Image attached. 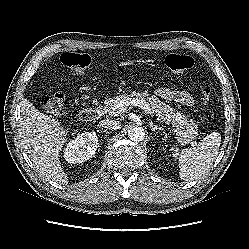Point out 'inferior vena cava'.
<instances>
[{
    "label": "inferior vena cava",
    "instance_id": "inferior-vena-cava-1",
    "mask_svg": "<svg viewBox=\"0 0 249 249\" xmlns=\"http://www.w3.org/2000/svg\"><path fill=\"white\" fill-rule=\"evenodd\" d=\"M100 126L109 130H117L120 129L121 123L119 121L114 120H102L99 122Z\"/></svg>",
    "mask_w": 249,
    "mask_h": 249
}]
</instances>
